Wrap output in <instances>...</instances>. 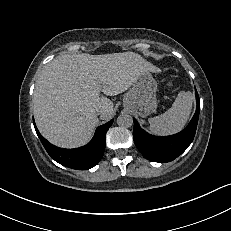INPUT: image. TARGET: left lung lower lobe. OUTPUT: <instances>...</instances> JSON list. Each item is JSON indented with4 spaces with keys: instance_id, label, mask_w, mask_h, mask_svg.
<instances>
[{
    "instance_id": "1",
    "label": "left lung lower lobe",
    "mask_w": 231,
    "mask_h": 231,
    "mask_svg": "<svg viewBox=\"0 0 231 231\" xmlns=\"http://www.w3.org/2000/svg\"><path fill=\"white\" fill-rule=\"evenodd\" d=\"M195 94L197 100L196 112L188 126L180 133L164 137L153 136L141 129L138 122L134 120V143L145 158L153 162H170L191 144L195 136L200 111L197 91Z\"/></svg>"
}]
</instances>
